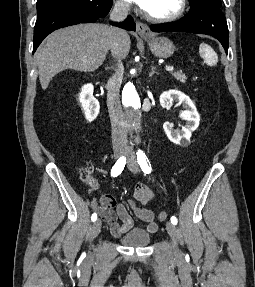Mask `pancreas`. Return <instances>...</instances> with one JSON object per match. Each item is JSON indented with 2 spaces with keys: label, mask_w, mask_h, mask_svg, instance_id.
Here are the masks:
<instances>
[{
  "label": "pancreas",
  "mask_w": 255,
  "mask_h": 287,
  "mask_svg": "<svg viewBox=\"0 0 255 287\" xmlns=\"http://www.w3.org/2000/svg\"><path fill=\"white\" fill-rule=\"evenodd\" d=\"M172 76H174V78H176V80H180V82H182V84H184V82H186L187 78L185 76V74H183L182 70H180V72H174V74H172Z\"/></svg>",
  "instance_id": "pancreas-1"
}]
</instances>
